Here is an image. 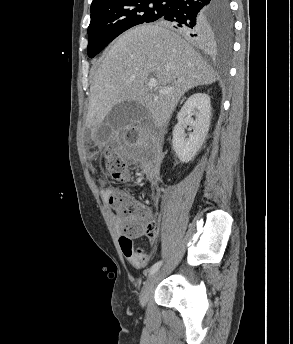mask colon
Here are the masks:
<instances>
[{
    "label": "colon",
    "instance_id": "obj_1",
    "mask_svg": "<svg viewBox=\"0 0 293 344\" xmlns=\"http://www.w3.org/2000/svg\"><path fill=\"white\" fill-rule=\"evenodd\" d=\"M128 137L135 140L136 135L130 132ZM104 164L109 174L118 180H128L131 171L126 160L116 151L108 150L104 153ZM109 203L124 232L129 235L152 236L154 224L150 219L148 210L132 199L126 190L118 189L113 191L109 197Z\"/></svg>",
    "mask_w": 293,
    "mask_h": 344
}]
</instances>
